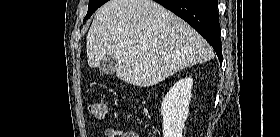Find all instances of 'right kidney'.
<instances>
[{
    "label": "right kidney",
    "instance_id": "right-kidney-1",
    "mask_svg": "<svg viewBox=\"0 0 280 137\" xmlns=\"http://www.w3.org/2000/svg\"><path fill=\"white\" fill-rule=\"evenodd\" d=\"M192 85L191 77L180 79L164 97L161 104L164 137H182L189 113Z\"/></svg>",
    "mask_w": 280,
    "mask_h": 137
}]
</instances>
